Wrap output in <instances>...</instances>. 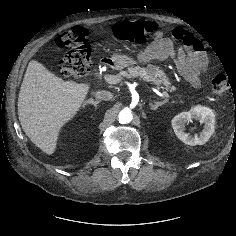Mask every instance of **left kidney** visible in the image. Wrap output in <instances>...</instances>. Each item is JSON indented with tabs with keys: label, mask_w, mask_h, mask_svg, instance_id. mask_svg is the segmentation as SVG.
I'll return each mask as SVG.
<instances>
[{
	"label": "left kidney",
	"mask_w": 236,
	"mask_h": 236,
	"mask_svg": "<svg viewBox=\"0 0 236 236\" xmlns=\"http://www.w3.org/2000/svg\"><path fill=\"white\" fill-rule=\"evenodd\" d=\"M197 120L204 124L202 131L196 135L186 132L185 125L192 120ZM173 130L183 143L187 145H203L213 135L215 131V114L208 108L201 105L194 106L188 112H181L171 121Z\"/></svg>",
	"instance_id": "1"
}]
</instances>
